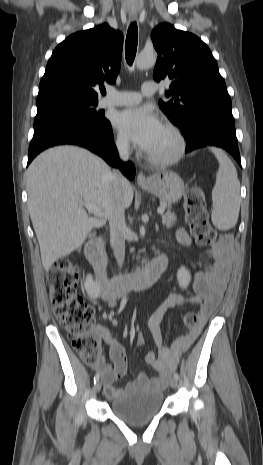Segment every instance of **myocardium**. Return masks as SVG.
I'll list each match as a JSON object with an SVG mask.
<instances>
[{
    "mask_svg": "<svg viewBox=\"0 0 263 465\" xmlns=\"http://www.w3.org/2000/svg\"><path fill=\"white\" fill-rule=\"evenodd\" d=\"M164 128L175 138L176 148L171 155L166 157H155L148 153L147 160L156 166H168L178 162L183 157L186 150V140L182 131L172 123H165Z\"/></svg>",
    "mask_w": 263,
    "mask_h": 465,
    "instance_id": "myocardium-1",
    "label": "myocardium"
}]
</instances>
